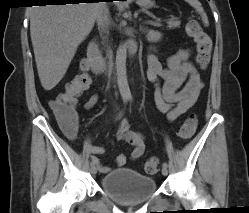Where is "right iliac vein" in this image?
<instances>
[{
  "instance_id": "right-iliac-vein-1",
  "label": "right iliac vein",
  "mask_w": 249,
  "mask_h": 213,
  "mask_svg": "<svg viewBox=\"0 0 249 213\" xmlns=\"http://www.w3.org/2000/svg\"><path fill=\"white\" fill-rule=\"evenodd\" d=\"M90 172H91L92 174H96V173H97V167H96L95 165H94V166H91Z\"/></svg>"
}]
</instances>
